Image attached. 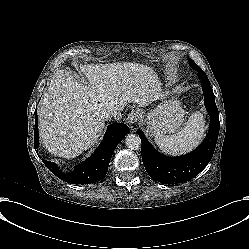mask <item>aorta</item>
Wrapping results in <instances>:
<instances>
[{
  "label": "aorta",
  "mask_w": 249,
  "mask_h": 249,
  "mask_svg": "<svg viewBox=\"0 0 249 249\" xmlns=\"http://www.w3.org/2000/svg\"><path fill=\"white\" fill-rule=\"evenodd\" d=\"M125 145L132 150H139L141 148V139L136 134H128L125 138Z\"/></svg>",
  "instance_id": "762f6f07"
}]
</instances>
